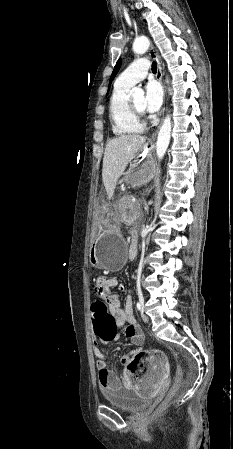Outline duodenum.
I'll use <instances>...</instances> for the list:
<instances>
[{"label": "duodenum", "instance_id": "obj_1", "mask_svg": "<svg viewBox=\"0 0 233 449\" xmlns=\"http://www.w3.org/2000/svg\"><path fill=\"white\" fill-rule=\"evenodd\" d=\"M135 250H136V244H135V241L133 239L132 244L130 246V253L133 254L135 252Z\"/></svg>", "mask_w": 233, "mask_h": 449}]
</instances>
